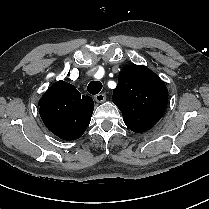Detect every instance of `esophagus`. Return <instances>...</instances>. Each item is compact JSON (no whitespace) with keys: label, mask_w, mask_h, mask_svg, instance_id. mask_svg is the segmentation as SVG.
<instances>
[{"label":"esophagus","mask_w":209,"mask_h":209,"mask_svg":"<svg viewBox=\"0 0 209 209\" xmlns=\"http://www.w3.org/2000/svg\"><path fill=\"white\" fill-rule=\"evenodd\" d=\"M94 99H95L96 102L102 103L106 100V95H105V93H99V94L94 96Z\"/></svg>","instance_id":"obj_1"}]
</instances>
